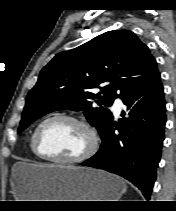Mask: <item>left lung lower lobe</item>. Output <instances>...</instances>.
Returning <instances> with one entry per match:
<instances>
[{
  "instance_id": "left-lung-lower-lobe-1",
  "label": "left lung lower lobe",
  "mask_w": 176,
  "mask_h": 211,
  "mask_svg": "<svg viewBox=\"0 0 176 211\" xmlns=\"http://www.w3.org/2000/svg\"><path fill=\"white\" fill-rule=\"evenodd\" d=\"M127 106L119 124L113 120L102 136L100 150L82 165L118 174L149 199L161 157L166 107L160 76L123 99ZM128 114L129 117H124ZM119 133L115 134V130Z\"/></svg>"
}]
</instances>
